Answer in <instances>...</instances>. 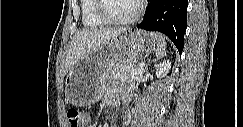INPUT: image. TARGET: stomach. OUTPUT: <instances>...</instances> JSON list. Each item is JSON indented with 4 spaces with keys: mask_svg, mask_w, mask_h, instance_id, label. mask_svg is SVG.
Listing matches in <instances>:
<instances>
[{
    "mask_svg": "<svg viewBox=\"0 0 243 127\" xmlns=\"http://www.w3.org/2000/svg\"><path fill=\"white\" fill-rule=\"evenodd\" d=\"M154 34L127 29L75 65L67 74L65 94L69 103L88 106L97 102L111 80V71L118 66L134 64L155 48Z\"/></svg>",
    "mask_w": 243,
    "mask_h": 127,
    "instance_id": "0dacf381",
    "label": "stomach"
}]
</instances>
